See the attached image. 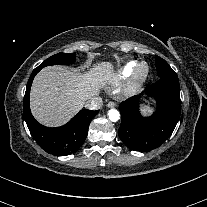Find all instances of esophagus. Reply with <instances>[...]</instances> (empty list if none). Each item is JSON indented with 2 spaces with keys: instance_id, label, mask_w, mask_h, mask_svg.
<instances>
[{
  "instance_id": "obj_1",
  "label": "esophagus",
  "mask_w": 207,
  "mask_h": 207,
  "mask_svg": "<svg viewBox=\"0 0 207 207\" xmlns=\"http://www.w3.org/2000/svg\"><path fill=\"white\" fill-rule=\"evenodd\" d=\"M107 107H108V108H115V107H116V103H114V102H109V103L107 104Z\"/></svg>"
}]
</instances>
